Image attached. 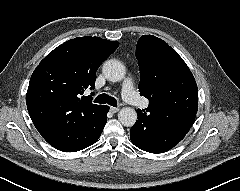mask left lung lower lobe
Masks as SVG:
<instances>
[{
    "instance_id": "left-lung-lower-lobe-1",
    "label": "left lung lower lobe",
    "mask_w": 240,
    "mask_h": 191,
    "mask_svg": "<svg viewBox=\"0 0 240 191\" xmlns=\"http://www.w3.org/2000/svg\"><path fill=\"white\" fill-rule=\"evenodd\" d=\"M190 128L185 123L158 121L147 108L138 111V121L130 130V138L135 146L146 152L164 153L177 145Z\"/></svg>"
}]
</instances>
